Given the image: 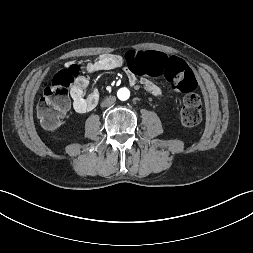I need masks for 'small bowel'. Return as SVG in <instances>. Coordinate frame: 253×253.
Masks as SVG:
<instances>
[{"label":"small bowel","instance_id":"c3829d8e","mask_svg":"<svg viewBox=\"0 0 253 253\" xmlns=\"http://www.w3.org/2000/svg\"><path fill=\"white\" fill-rule=\"evenodd\" d=\"M142 51H153L157 53H163L154 50H142ZM132 52L127 53L125 55V58L114 53H104L100 55L95 61L87 63L84 68L88 73L115 70L121 67L125 60L127 61L128 56ZM70 66L71 65H67V68H69ZM126 73L130 85L134 87L141 85L148 93L154 96L159 95L161 93L160 87L154 81L148 79L146 76L136 74L129 67L126 70ZM87 87H88L87 79L81 76L75 80L71 88L73 107L78 113H86L91 111L99 101L98 90L92 89L86 95L85 90Z\"/></svg>","mask_w":253,"mask_h":253}]
</instances>
